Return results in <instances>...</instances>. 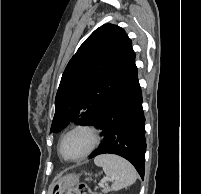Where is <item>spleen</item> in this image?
<instances>
[{
	"label": "spleen",
	"instance_id": "spleen-1",
	"mask_svg": "<svg viewBox=\"0 0 201 194\" xmlns=\"http://www.w3.org/2000/svg\"><path fill=\"white\" fill-rule=\"evenodd\" d=\"M94 163L102 167L105 174L112 179V190L114 191L132 185L137 179L133 165L117 155H99L94 159Z\"/></svg>",
	"mask_w": 201,
	"mask_h": 194
}]
</instances>
